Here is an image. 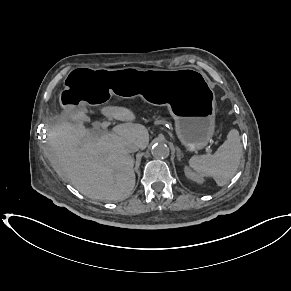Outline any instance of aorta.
Wrapping results in <instances>:
<instances>
[{"instance_id": "762f6f07", "label": "aorta", "mask_w": 291, "mask_h": 291, "mask_svg": "<svg viewBox=\"0 0 291 291\" xmlns=\"http://www.w3.org/2000/svg\"><path fill=\"white\" fill-rule=\"evenodd\" d=\"M151 153L155 158H167L170 154V150L166 144L158 143L152 147Z\"/></svg>"}]
</instances>
